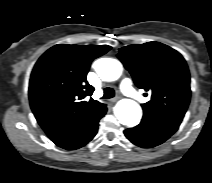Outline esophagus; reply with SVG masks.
<instances>
[{
  "label": "esophagus",
  "mask_w": 212,
  "mask_h": 183,
  "mask_svg": "<svg viewBox=\"0 0 212 183\" xmlns=\"http://www.w3.org/2000/svg\"><path fill=\"white\" fill-rule=\"evenodd\" d=\"M120 98H121V96L119 95V96H116V97L112 98L110 101L114 103L117 100H119Z\"/></svg>",
  "instance_id": "esophagus-1"
}]
</instances>
